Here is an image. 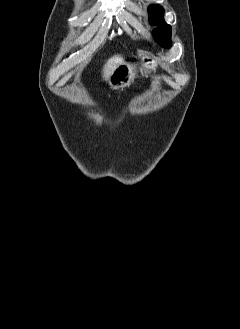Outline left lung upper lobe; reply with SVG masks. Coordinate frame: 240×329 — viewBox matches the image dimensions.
Instances as JSON below:
<instances>
[{
  "label": "left lung upper lobe",
  "mask_w": 240,
  "mask_h": 329,
  "mask_svg": "<svg viewBox=\"0 0 240 329\" xmlns=\"http://www.w3.org/2000/svg\"><path fill=\"white\" fill-rule=\"evenodd\" d=\"M148 12L151 25L159 24V27L153 30L155 40L161 46L169 48L171 46V26L163 19V8L159 5H151Z\"/></svg>",
  "instance_id": "1"
}]
</instances>
